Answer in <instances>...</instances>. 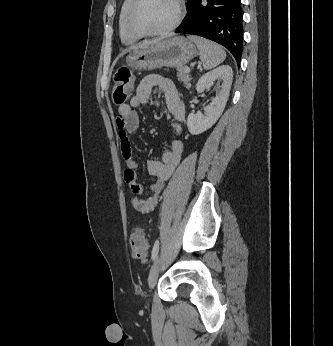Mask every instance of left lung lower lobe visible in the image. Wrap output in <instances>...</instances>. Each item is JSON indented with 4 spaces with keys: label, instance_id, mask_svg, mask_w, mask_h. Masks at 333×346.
I'll return each mask as SVG.
<instances>
[{
    "label": "left lung lower lobe",
    "instance_id": "left-lung-lower-lobe-1",
    "mask_svg": "<svg viewBox=\"0 0 333 346\" xmlns=\"http://www.w3.org/2000/svg\"><path fill=\"white\" fill-rule=\"evenodd\" d=\"M190 0L187 15L175 33L198 35L226 47L240 63L243 19L240 0Z\"/></svg>",
    "mask_w": 333,
    "mask_h": 346
}]
</instances>
